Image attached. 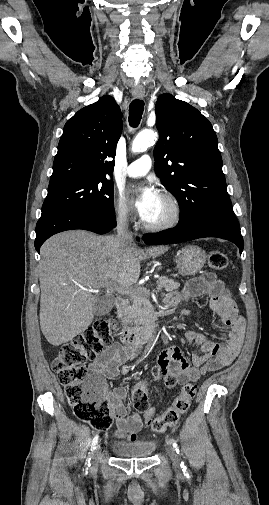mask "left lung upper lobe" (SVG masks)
I'll list each match as a JSON object with an SVG mask.
<instances>
[{"label":"left lung upper lobe","mask_w":269,"mask_h":505,"mask_svg":"<svg viewBox=\"0 0 269 505\" xmlns=\"http://www.w3.org/2000/svg\"><path fill=\"white\" fill-rule=\"evenodd\" d=\"M156 127L155 172L179 203L178 225L191 226L218 212L234 214L209 120L190 104L165 93L156 102Z\"/></svg>","instance_id":"left-lung-upper-lobe-1"}]
</instances>
